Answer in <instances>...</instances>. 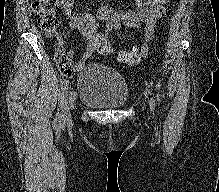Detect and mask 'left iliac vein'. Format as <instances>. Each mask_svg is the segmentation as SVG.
<instances>
[{
  "instance_id": "4c4485c4",
  "label": "left iliac vein",
  "mask_w": 219,
  "mask_h": 192,
  "mask_svg": "<svg viewBox=\"0 0 219 192\" xmlns=\"http://www.w3.org/2000/svg\"><path fill=\"white\" fill-rule=\"evenodd\" d=\"M149 105H150V109H151V111H153L154 104H153V101H152V100H150Z\"/></svg>"
}]
</instances>
